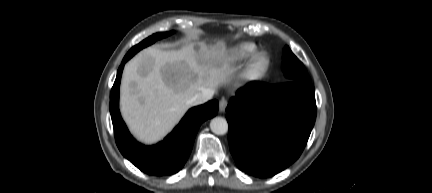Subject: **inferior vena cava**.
I'll list each match as a JSON object with an SVG mask.
<instances>
[{
    "instance_id": "602c4592",
    "label": "inferior vena cava",
    "mask_w": 432,
    "mask_h": 193,
    "mask_svg": "<svg viewBox=\"0 0 432 193\" xmlns=\"http://www.w3.org/2000/svg\"><path fill=\"white\" fill-rule=\"evenodd\" d=\"M213 90L211 89H204L201 92L195 94L192 98L188 100V103L192 106L200 105L208 100L212 99L213 97Z\"/></svg>"
}]
</instances>
